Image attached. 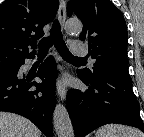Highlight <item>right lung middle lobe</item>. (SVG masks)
Listing matches in <instances>:
<instances>
[{
  "label": "right lung middle lobe",
  "instance_id": "1",
  "mask_svg": "<svg viewBox=\"0 0 144 137\" xmlns=\"http://www.w3.org/2000/svg\"><path fill=\"white\" fill-rule=\"evenodd\" d=\"M15 67H16V66H15ZM15 67L10 68V69L5 70V71L0 72V75L13 73V72H14V70H15Z\"/></svg>",
  "mask_w": 144,
  "mask_h": 137
}]
</instances>
